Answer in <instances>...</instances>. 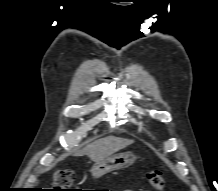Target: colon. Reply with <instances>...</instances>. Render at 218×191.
Wrapping results in <instances>:
<instances>
[{
    "label": "colon",
    "instance_id": "colon-1",
    "mask_svg": "<svg viewBox=\"0 0 218 191\" xmlns=\"http://www.w3.org/2000/svg\"><path fill=\"white\" fill-rule=\"evenodd\" d=\"M74 181V172L72 170H60L54 174V191H77L69 187ZM146 181L155 190H162L165 185L164 174L160 170H152L146 174Z\"/></svg>",
    "mask_w": 218,
    "mask_h": 191
}]
</instances>
